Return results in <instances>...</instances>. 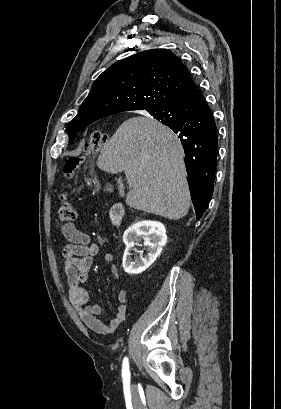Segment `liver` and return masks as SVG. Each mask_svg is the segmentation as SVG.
I'll return each mask as SVG.
<instances>
[{"instance_id":"1","label":"liver","mask_w":281,"mask_h":409,"mask_svg":"<svg viewBox=\"0 0 281 409\" xmlns=\"http://www.w3.org/2000/svg\"><path fill=\"white\" fill-rule=\"evenodd\" d=\"M182 146L174 132L150 116H133L120 124L98 158L101 170H124L126 205L172 221L186 217L190 190Z\"/></svg>"}]
</instances>
